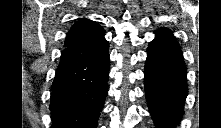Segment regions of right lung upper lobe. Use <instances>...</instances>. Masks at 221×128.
I'll list each match as a JSON object with an SVG mask.
<instances>
[{"mask_svg": "<svg viewBox=\"0 0 221 128\" xmlns=\"http://www.w3.org/2000/svg\"><path fill=\"white\" fill-rule=\"evenodd\" d=\"M104 30L96 22L82 18L67 33L65 46L80 45L98 40Z\"/></svg>", "mask_w": 221, "mask_h": 128, "instance_id": "1", "label": "right lung upper lobe"}]
</instances>
